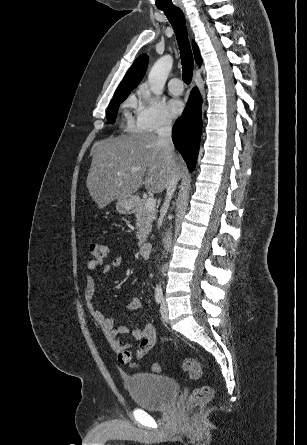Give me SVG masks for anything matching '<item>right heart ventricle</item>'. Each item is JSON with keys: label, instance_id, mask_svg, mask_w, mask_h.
Masks as SVG:
<instances>
[{"label": "right heart ventricle", "instance_id": "right-heart-ventricle-1", "mask_svg": "<svg viewBox=\"0 0 307 445\" xmlns=\"http://www.w3.org/2000/svg\"><path fill=\"white\" fill-rule=\"evenodd\" d=\"M123 105L133 106V107H135L136 111L139 108L138 100H137V98L133 94H130L129 96H127L124 99ZM126 122H127L126 123V128L130 129V128L133 127V122H132V120H131V118H130V116L128 114H126Z\"/></svg>", "mask_w": 307, "mask_h": 445}]
</instances>
